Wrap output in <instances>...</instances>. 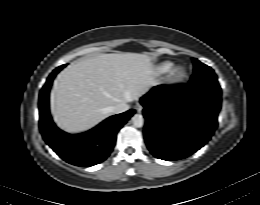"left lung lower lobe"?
Wrapping results in <instances>:
<instances>
[{
	"instance_id": "1",
	"label": "left lung lower lobe",
	"mask_w": 260,
	"mask_h": 205,
	"mask_svg": "<svg viewBox=\"0 0 260 205\" xmlns=\"http://www.w3.org/2000/svg\"><path fill=\"white\" fill-rule=\"evenodd\" d=\"M150 152L167 161L188 157L217 127L221 89L200 85L157 86L140 100Z\"/></svg>"
}]
</instances>
